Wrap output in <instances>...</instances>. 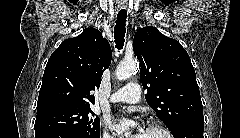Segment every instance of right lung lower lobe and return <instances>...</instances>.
I'll list each match as a JSON object with an SVG mask.
<instances>
[{"instance_id":"obj_1","label":"right lung lower lobe","mask_w":240,"mask_h":138,"mask_svg":"<svg viewBox=\"0 0 240 138\" xmlns=\"http://www.w3.org/2000/svg\"><path fill=\"white\" fill-rule=\"evenodd\" d=\"M35 138H82L62 129H47L35 131Z\"/></svg>"}]
</instances>
